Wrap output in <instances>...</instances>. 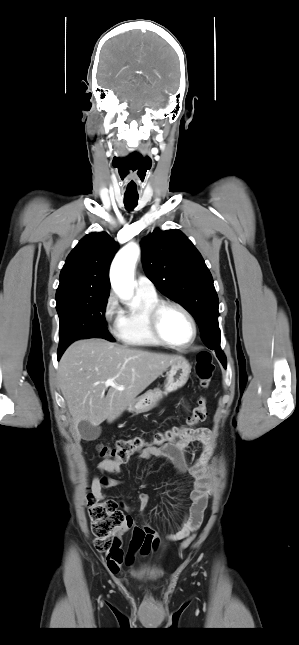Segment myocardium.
<instances>
[{
	"label": "myocardium",
	"instance_id": "myocardium-1",
	"mask_svg": "<svg viewBox=\"0 0 299 645\" xmlns=\"http://www.w3.org/2000/svg\"><path fill=\"white\" fill-rule=\"evenodd\" d=\"M176 308L180 310L189 320L191 327H192V335L191 338L185 342V343H175L172 341H169L165 336L163 335L160 327V321H161V316L163 311L166 308ZM148 324L149 328L151 330V333L153 336L163 345L172 347V348H186L190 346L191 344L194 343L197 337V323L194 318V316L191 314V312L182 304L176 302V301H171V300H160L158 301L149 311L148 313Z\"/></svg>",
	"mask_w": 299,
	"mask_h": 645
}]
</instances>
